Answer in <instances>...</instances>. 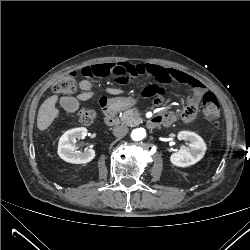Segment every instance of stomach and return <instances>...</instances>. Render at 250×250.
<instances>
[{
  "label": "stomach",
  "mask_w": 250,
  "mask_h": 250,
  "mask_svg": "<svg viewBox=\"0 0 250 250\" xmlns=\"http://www.w3.org/2000/svg\"><path fill=\"white\" fill-rule=\"evenodd\" d=\"M112 103L121 108V107H130L136 103V100L129 97L116 98L112 101Z\"/></svg>",
  "instance_id": "obj_1"
}]
</instances>
